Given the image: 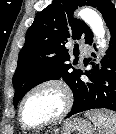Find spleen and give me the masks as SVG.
Instances as JSON below:
<instances>
[{"label": "spleen", "instance_id": "spleen-1", "mask_svg": "<svg viewBox=\"0 0 116 134\" xmlns=\"http://www.w3.org/2000/svg\"><path fill=\"white\" fill-rule=\"evenodd\" d=\"M86 116L97 127L98 134H116V114L108 110L86 112Z\"/></svg>", "mask_w": 116, "mask_h": 134}]
</instances>
